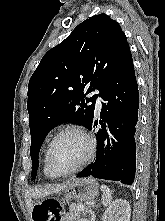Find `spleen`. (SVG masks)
<instances>
[{
  "label": "spleen",
  "instance_id": "3e777b00",
  "mask_svg": "<svg viewBox=\"0 0 165 221\" xmlns=\"http://www.w3.org/2000/svg\"><path fill=\"white\" fill-rule=\"evenodd\" d=\"M102 191V204L103 206H109L112 202L111 191L106 185H101Z\"/></svg>",
  "mask_w": 165,
  "mask_h": 221
}]
</instances>
